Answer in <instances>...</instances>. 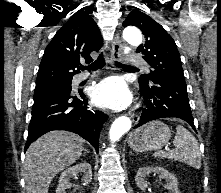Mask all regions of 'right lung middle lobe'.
<instances>
[{
	"label": "right lung middle lobe",
	"instance_id": "right-lung-middle-lobe-1",
	"mask_svg": "<svg viewBox=\"0 0 221 193\" xmlns=\"http://www.w3.org/2000/svg\"><path fill=\"white\" fill-rule=\"evenodd\" d=\"M49 93H71V82H62L50 85L37 86L34 92V98L49 94Z\"/></svg>",
	"mask_w": 221,
	"mask_h": 193
}]
</instances>
